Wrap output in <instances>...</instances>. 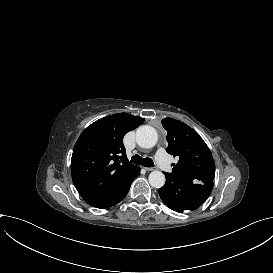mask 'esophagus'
<instances>
[{"label": "esophagus", "instance_id": "1", "mask_svg": "<svg viewBox=\"0 0 273 273\" xmlns=\"http://www.w3.org/2000/svg\"><path fill=\"white\" fill-rule=\"evenodd\" d=\"M147 171H154L156 170L157 168L154 166V167H146L145 168Z\"/></svg>", "mask_w": 273, "mask_h": 273}]
</instances>
